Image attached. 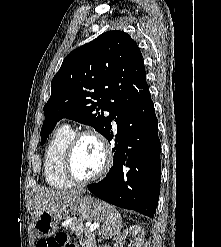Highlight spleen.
Masks as SVG:
<instances>
[{"mask_svg": "<svg viewBox=\"0 0 221 247\" xmlns=\"http://www.w3.org/2000/svg\"><path fill=\"white\" fill-rule=\"evenodd\" d=\"M121 229L120 213L110 205H107V215L99 232L104 238L119 235Z\"/></svg>", "mask_w": 221, "mask_h": 247, "instance_id": "3e777b00", "label": "spleen"}]
</instances>
